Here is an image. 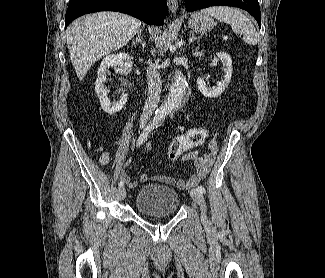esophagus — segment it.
Listing matches in <instances>:
<instances>
[{
    "instance_id": "34e87169",
    "label": "esophagus",
    "mask_w": 325,
    "mask_h": 278,
    "mask_svg": "<svg viewBox=\"0 0 325 278\" xmlns=\"http://www.w3.org/2000/svg\"><path fill=\"white\" fill-rule=\"evenodd\" d=\"M168 8L171 13H176L178 9V0H167Z\"/></svg>"
}]
</instances>
